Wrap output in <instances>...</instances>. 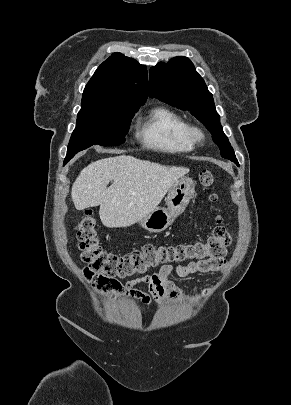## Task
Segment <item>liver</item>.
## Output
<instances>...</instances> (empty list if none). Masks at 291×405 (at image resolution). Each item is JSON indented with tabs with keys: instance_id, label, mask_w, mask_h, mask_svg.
<instances>
[{
	"instance_id": "1",
	"label": "liver",
	"mask_w": 291,
	"mask_h": 405,
	"mask_svg": "<svg viewBox=\"0 0 291 405\" xmlns=\"http://www.w3.org/2000/svg\"><path fill=\"white\" fill-rule=\"evenodd\" d=\"M188 172L133 156L104 158L80 172L71 196L77 210L100 205V219L106 227H127L157 208L171 186Z\"/></svg>"
}]
</instances>
